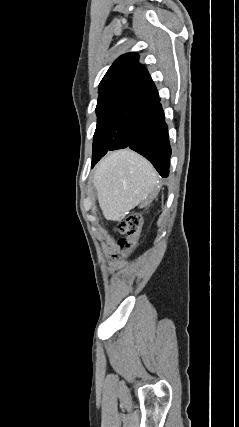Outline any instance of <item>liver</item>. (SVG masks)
Listing matches in <instances>:
<instances>
[{
    "mask_svg": "<svg viewBox=\"0 0 239 427\" xmlns=\"http://www.w3.org/2000/svg\"><path fill=\"white\" fill-rule=\"evenodd\" d=\"M157 174L151 164L130 149L115 151L98 164L94 186L107 220L119 221L126 213L155 196Z\"/></svg>",
    "mask_w": 239,
    "mask_h": 427,
    "instance_id": "6515ba94",
    "label": "liver"
}]
</instances>
